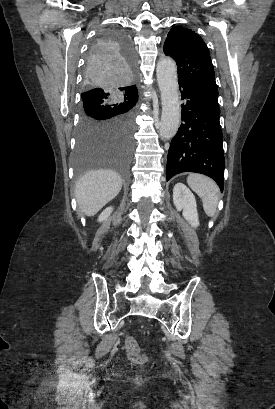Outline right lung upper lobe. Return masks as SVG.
<instances>
[{"instance_id": "cb5924a9", "label": "right lung upper lobe", "mask_w": 275, "mask_h": 409, "mask_svg": "<svg viewBox=\"0 0 275 409\" xmlns=\"http://www.w3.org/2000/svg\"><path fill=\"white\" fill-rule=\"evenodd\" d=\"M123 91L125 96L138 98L136 85L126 86Z\"/></svg>"}]
</instances>
